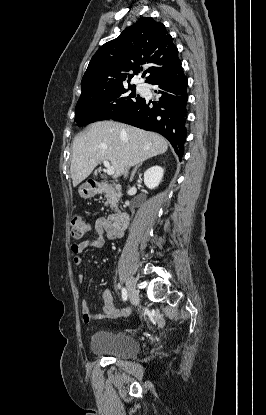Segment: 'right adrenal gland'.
Returning a JSON list of instances; mask_svg holds the SVG:
<instances>
[{
    "instance_id": "2a0ac1e0",
    "label": "right adrenal gland",
    "mask_w": 266,
    "mask_h": 415,
    "mask_svg": "<svg viewBox=\"0 0 266 415\" xmlns=\"http://www.w3.org/2000/svg\"><path fill=\"white\" fill-rule=\"evenodd\" d=\"M142 165H143V162H140L138 165H136V166H135L134 170L132 171V174H131V177H130V181H132V180H133L134 175H135V173H136L137 169H138L139 167H141Z\"/></svg>"
}]
</instances>
